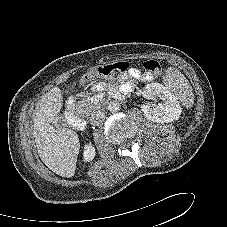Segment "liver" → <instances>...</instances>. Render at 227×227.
<instances>
[{
	"mask_svg": "<svg viewBox=\"0 0 227 227\" xmlns=\"http://www.w3.org/2000/svg\"><path fill=\"white\" fill-rule=\"evenodd\" d=\"M62 102L58 87L42 97L34 114L33 134L42 162L54 173L69 178L75 173L80 143L75 131L51 125L58 119Z\"/></svg>",
	"mask_w": 227,
	"mask_h": 227,
	"instance_id": "1",
	"label": "liver"
}]
</instances>
